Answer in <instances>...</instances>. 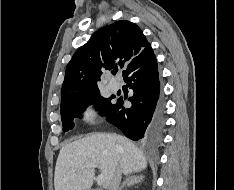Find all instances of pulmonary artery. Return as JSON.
<instances>
[{"label": "pulmonary artery", "mask_w": 234, "mask_h": 190, "mask_svg": "<svg viewBox=\"0 0 234 190\" xmlns=\"http://www.w3.org/2000/svg\"><path fill=\"white\" fill-rule=\"evenodd\" d=\"M109 88L112 91H117L120 88V84L119 83H115V82H111V83H109Z\"/></svg>", "instance_id": "obj_1"}]
</instances>
